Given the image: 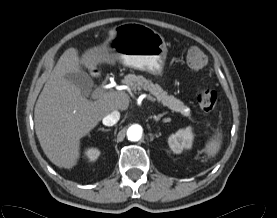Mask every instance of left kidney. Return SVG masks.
<instances>
[{"label": "left kidney", "instance_id": "left-kidney-1", "mask_svg": "<svg viewBox=\"0 0 277 218\" xmlns=\"http://www.w3.org/2000/svg\"><path fill=\"white\" fill-rule=\"evenodd\" d=\"M193 141L192 128L187 127L185 129L178 130L175 134H172L168 138V144L171 150L180 154L184 149H190Z\"/></svg>", "mask_w": 277, "mask_h": 218}]
</instances>
